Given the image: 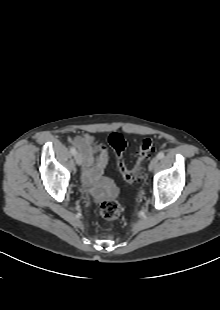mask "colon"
<instances>
[{"instance_id": "colon-1", "label": "colon", "mask_w": 220, "mask_h": 310, "mask_svg": "<svg viewBox=\"0 0 220 310\" xmlns=\"http://www.w3.org/2000/svg\"><path fill=\"white\" fill-rule=\"evenodd\" d=\"M109 144L113 148L117 165L123 178L128 183L139 182L142 178V163L155 149V142L151 138H143L140 141L137 153L136 163L133 168H128L125 159L124 151L126 148L125 138L119 133H112L109 136ZM100 215L107 220H115L121 216L122 207L115 199H107L100 205Z\"/></svg>"}]
</instances>
